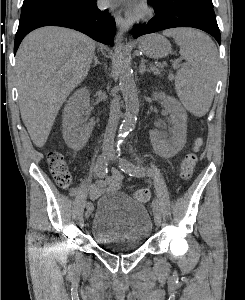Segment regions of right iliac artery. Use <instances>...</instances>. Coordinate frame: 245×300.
Masks as SVG:
<instances>
[{
  "mask_svg": "<svg viewBox=\"0 0 245 300\" xmlns=\"http://www.w3.org/2000/svg\"><path fill=\"white\" fill-rule=\"evenodd\" d=\"M107 154H102L98 157L97 159V162H96V167H95V170H96V174L98 175V177L100 178H104L107 174V166H108V163H107V157H106ZM92 203L91 202H88L86 204V206H90Z\"/></svg>",
  "mask_w": 245,
  "mask_h": 300,
  "instance_id": "1",
  "label": "right iliac artery"
}]
</instances>
